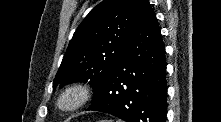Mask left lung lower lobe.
<instances>
[{
	"instance_id": "1",
	"label": "left lung lower lobe",
	"mask_w": 221,
	"mask_h": 122,
	"mask_svg": "<svg viewBox=\"0 0 221 122\" xmlns=\"http://www.w3.org/2000/svg\"><path fill=\"white\" fill-rule=\"evenodd\" d=\"M165 72V48L157 19L148 0H141L125 47L102 93L87 110L127 122H165Z\"/></svg>"
}]
</instances>
